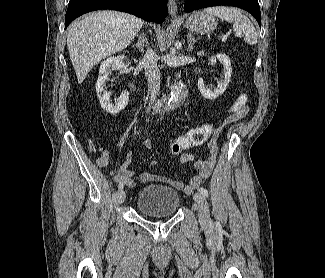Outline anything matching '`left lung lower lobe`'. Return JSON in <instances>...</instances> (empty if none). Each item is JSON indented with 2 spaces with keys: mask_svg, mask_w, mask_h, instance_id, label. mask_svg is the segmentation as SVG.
Listing matches in <instances>:
<instances>
[{
  "mask_svg": "<svg viewBox=\"0 0 325 278\" xmlns=\"http://www.w3.org/2000/svg\"><path fill=\"white\" fill-rule=\"evenodd\" d=\"M219 5L239 7L250 12L261 27V13L258 0H189L185 2L184 9L185 12H191L201 8Z\"/></svg>",
  "mask_w": 325,
  "mask_h": 278,
  "instance_id": "0a47b994",
  "label": "left lung lower lobe"
}]
</instances>
